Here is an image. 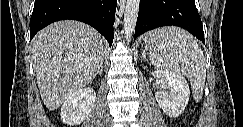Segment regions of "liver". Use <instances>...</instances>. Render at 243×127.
Instances as JSON below:
<instances>
[{"instance_id":"obj_1","label":"liver","mask_w":243,"mask_h":127,"mask_svg":"<svg viewBox=\"0 0 243 127\" xmlns=\"http://www.w3.org/2000/svg\"><path fill=\"white\" fill-rule=\"evenodd\" d=\"M106 42L91 26L74 20L53 23L32 40L33 66L44 105L51 111L99 73Z\"/></svg>"}]
</instances>
